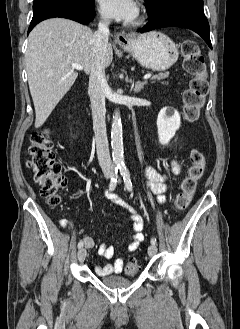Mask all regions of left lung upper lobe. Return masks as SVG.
Listing matches in <instances>:
<instances>
[{"instance_id": "1", "label": "left lung upper lobe", "mask_w": 240, "mask_h": 329, "mask_svg": "<svg viewBox=\"0 0 240 329\" xmlns=\"http://www.w3.org/2000/svg\"><path fill=\"white\" fill-rule=\"evenodd\" d=\"M177 1V0H145L146 2V11L148 16H154L157 12L162 10L168 4ZM203 3V0H187Z\"/></svg>"}]
</instances>
